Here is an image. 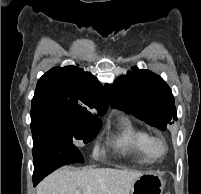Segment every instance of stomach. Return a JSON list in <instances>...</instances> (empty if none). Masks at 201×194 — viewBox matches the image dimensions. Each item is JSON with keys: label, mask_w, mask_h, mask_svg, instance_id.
Returning <instances> with one entry per match:
<instances>
[{"label": "stomach", "mask_w": 201, "mask_h": 194, "mask_svg": "<svg viewBox=\"0 0 201 194\" xmlns=\"http://www.w3.org/2000/svg\"><path fill=\"white\" fill-rule=\"evenodd\" d=\"M164 185L159 175L147 172L133 182L130 194H162Z\"/></svg>", "instance_id": "obj_1"}]
</instances>
